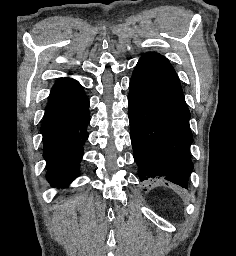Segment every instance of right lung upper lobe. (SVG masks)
I'll list each match as a JSON object with an SVG mask.
<instances>
[{"label":"right lung upper lobe","instance_id":"right-lung-upper-lobe-1","mask_svg":"<svg viewBox=\"0 0 236 256\" xmlns=\"http://www.w3.org/2000/svg\"><path fill=\"white\" fill-rule=\"evenodd\" d=\"M78 82L70 78H60L56 81L52 87L49 100L61 94L63 91L69 89L70 87L76 85Z\"/></svg>","mask_w":236,"mask_h":256}]
</instances>
